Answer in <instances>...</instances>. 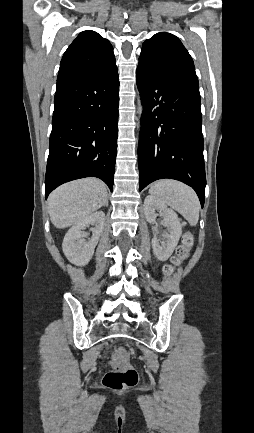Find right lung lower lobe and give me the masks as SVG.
I'll list each match as a JSON object with an SVG mask.
<instances>
[{
    "label": "right lung lower lobe",
    "instance_id": "98d812e1",
    "mask_svg": "<svg viewBox=\"0 0 254 433\" xmlns=\"http://www.w3.org/2000/svg\"><path fill=\"white\" fill-rule=\"evenodd\" d=\"M117 67L57 81L45 195L59 185L97 177L113 190L117 154Z\"/></svg>",
    "mask_w": 254,
    "mask_h": 433
}]
</instances>
